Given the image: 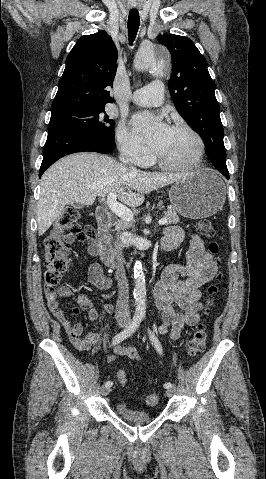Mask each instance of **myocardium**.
Segmentation results:
<instances>
[{"instance_id": "obj_1", "label": "myocardium", "mask_w": 266, "mask_h": 479, "mask_svg": "<svg viewBox=\"0 0 266 479\" xmlns=\"http://www.w3.org/2000/svg\"><path fill=\"white\" fill-rule=\"evenodd\" d=\"M172 129L187 132L193 137L196 143L195 153L191 159H189L188 161L180 162V163L165 162L157 156L155 159L156 163L161 168L166 170H190V169L196 168L202 161L204 153H205V143L202 137L196 130H194L192 127L186 124L173 125Z\"/></svg>"}]
</instances>
